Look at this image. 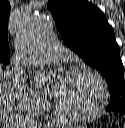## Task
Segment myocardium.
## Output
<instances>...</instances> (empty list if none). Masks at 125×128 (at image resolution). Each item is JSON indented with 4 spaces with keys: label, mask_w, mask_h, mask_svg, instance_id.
Wrapping results in <instances>:
<instances>
[{
    "label": "myocardium",
    "mask_w": 125,
    "mask_h": 128,
    "mask_svg": "<svg viewBox=\"0 0 125 128\" xmlns=\"http://www.w3.org/2000/svg\"><path fill=\"white\" fill-rule=\"evenodd\" d=\"M88 73L91 76H93L100 86L101 96L100 100L97 104V106L87 112L82 113H70L62 109V107L58 104V102L54 99L53 100V107L55 113L62 119L70 121V122H82V121H88L91 119L96 118L107 106L108 99H109V90L108 85L104 77L101 73H99L97 70L86 66V65H76L73 67H70L66 72L64 76L72 75L76 73Z\"/></svg>",
    "instance_id": "obj_1"
}]
</instances>
